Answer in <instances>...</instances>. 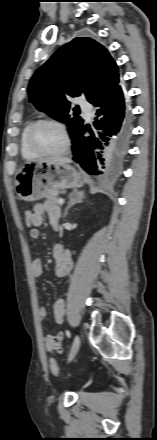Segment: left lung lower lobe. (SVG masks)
<instances>
[{
  "instance_id": "1",
  "label": "left lung lower lobe",
  "mask_w": 157,
  "mask_h": 440,
  "mask_svg": "<svg viewBox=\"0 0 157 440\" xmlns=\"http://www.w3.org/2000/svg\"><path fill=\"white\" fill-rule=\"evenodd\" d=\"M92 127L79 126L72 136L73 160L91 175L114 169L126 152L131 135V111L125 93L117 86L93 103Z\"/></svg>"
}]
</instances>
